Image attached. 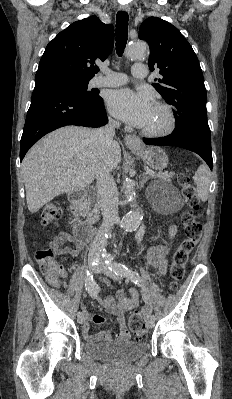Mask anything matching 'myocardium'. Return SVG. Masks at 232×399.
<instances>
[{
    "label": "myocardium",
    "instance_id": "f54148a6",
    "mask_svg": "<svg viewBox=\"0 0 232 399\" xmlns=\"http://www.w3.org/2000/svg\"><path fill=\"white\" fill-rule=\"evenodd\" d=\"M156 105L164 111L165 115H166V125L164 128H162L159 131H155V132H147V131H142L139 129V134L145 138H149V139H160V138H164L168 135H170L174 129L176 128V115L175 112L173 110V108L165 103L162 102H157Z\"/></svg>",
    "mask_w": 232,
    "mask_h": 399
}]
</instances>
